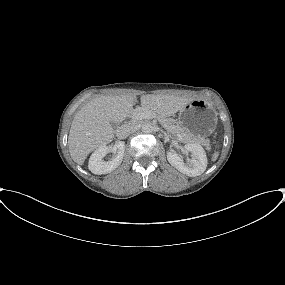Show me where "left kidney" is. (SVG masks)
Returning <instances> with one entry per match:
<instances>
[{
	"instance_id": "5707ae66",
	"label": "left kidney",
	"mask_w": 285,
	"mask_h": 285,
	"mask_svg": "<svg viewBox=\"0 0 285 285\" xmlns=\"http://www.w3.org/2000/svg\"><path fill=\"white\" fill-rule=\"evenodd\" d=\"M184 148L192 153V158L187 163L175 152H168L169 163L178 171L187 176L195 177L201 175L207 167V156L203 147L196 143H187Z\"/></svg>"
}]
</instances>
